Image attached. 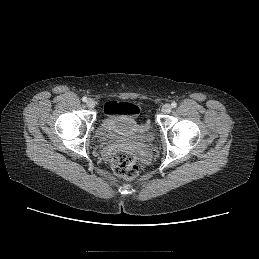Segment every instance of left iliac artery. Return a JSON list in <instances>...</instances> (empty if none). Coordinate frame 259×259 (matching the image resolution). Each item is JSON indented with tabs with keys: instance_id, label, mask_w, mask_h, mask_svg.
Wrapping results in <instances>:
<instances>
[{
	"instance_id": "obj_1",
	"label": "left iliac artery",
	"mask_w": 259,
	"mask_h": 259,
	"mask_svg": "<svg viewBox=\"0 0 259 259\" xmlns=\"http://www.w3.org/2000/svg\"><path fill=\"white\" fill-rule=\"evenodd\" d=\"M171 106H172L173 108H175V107L177 106V103H176V102H172V103H171Z\"/></svg>"
}]
</instances>
